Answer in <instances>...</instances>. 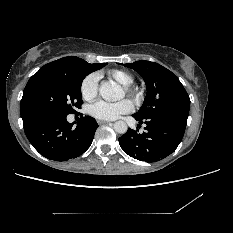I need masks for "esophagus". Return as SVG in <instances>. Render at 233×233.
<instances>
[{
    "mask_svg": "<svg viewBox=\"0 0 233 233\" xmlns=\"http://www.w3.org/2000/svg\"><path fill=\"white\" fill-rule=\"evenodd\" d=\"M98 124H110V121H105V120H98L97 121Z\"/></svg>",
    "mask_w": 233,
    "mask_h": 233,
    "instance_id": "esophagus-1",
    "label": "esophagus"
}]
</instances>
